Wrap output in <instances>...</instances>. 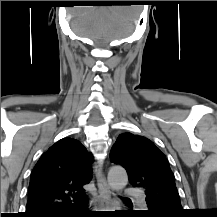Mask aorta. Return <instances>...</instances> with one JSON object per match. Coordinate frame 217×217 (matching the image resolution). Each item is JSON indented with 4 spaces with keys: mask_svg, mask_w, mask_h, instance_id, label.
I'll use <instances>...</instances> for the list:
<instances>
[{
    "mask_svg": "<svg viewBox=\"0 0 217 217\" xmlns=\"http://www.w3.org/2000/svg\"><path fill=\"white\" fill-rule=\"evenodd\" d=\"M107 179L111 189L116 191L122 190L128 183L127 172L120 166L111 167Z\"/></svg>",
    "mask_w": 217,
    "mask_h": 217,
    "instance_id": "obj_1",
    "label": "aorta"
}]
</instances>
